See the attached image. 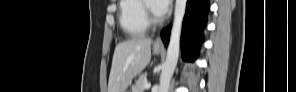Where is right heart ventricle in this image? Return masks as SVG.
Segmentation results:
<instances>
[{
    "label": "right heart ventricle",
    "instance_id": "e07e8e85",
    "mask_svg": "<svg viewBox=\"0 0 296 92\" xmlns=\"http://www.w3.org/2000/svg\"><path fill=\"white\" fill-rule=\"evenodd\" d=\"M119 23L128 36L135 37L144 34L148 29L144 17V1L122 0L120 2Z\"/></svg>",
    "mask_w": 296,
    "mask_h": 92
}]
</instances>
